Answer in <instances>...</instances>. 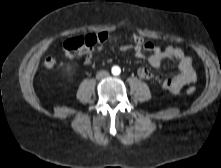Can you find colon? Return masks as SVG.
<instances>
[{
	"label": "colon",
	"mask_w": 221,
	"mask_h": 168,
	"mask_svg": "<svg viewBox=\"0 0 221 168\" xmlns=\"http://www.w3.org/2000/svg\"><path fill=\"white\" fill-rule=\"evenodd\" d=\"M120 41L119 35H110L108 32L78 36L70 38L64 43V53L67 58L71 59L89 53L98 43L112 46L119 44ZM130 42L134 46L144 47L147 45L148 40L140 34H133L130 37ZM44 65L46 68L51 69L56 65V60L53 57H47ZM187 93L190 95L194 94L195 88L189 87Z\"/></svg>",
	"instance_id": "1"
}]
</instances>
